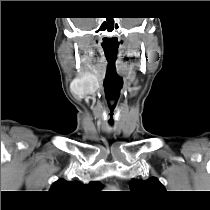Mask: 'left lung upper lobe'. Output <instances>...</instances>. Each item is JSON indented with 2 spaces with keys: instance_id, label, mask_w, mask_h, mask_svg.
Here are the masks:
<instances>
[{
  "instance_id": "obj_1",
  "label": "left lung upper lobe",
  "mask_w": 210,
  "mask_h": 210,
  "mask_svg": "<svg viewBox=\"0 0 210 210\" xmlns=\"http://www.w3.org/2000/svg\"><path fill=\"white\" fill-rule=\"evenodd\" d=\"M130 189L132 191L140 193H155L165 190L164 186L155 177H151L147 180L132 179L130 183Z\"/></svg>"
}]
</instances>
